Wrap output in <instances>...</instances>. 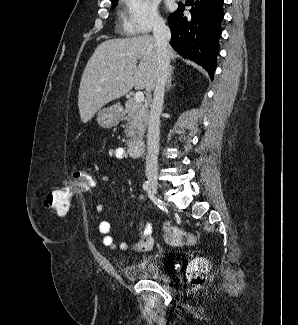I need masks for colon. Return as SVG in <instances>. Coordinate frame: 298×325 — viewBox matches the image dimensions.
I'll return each instance as SVG.
<instances>
[{"mask_svg": "<svg viewBox=\"0 0 298 325\" xmlns=\"http://www.w3.org/2000/svg\"><path fill=\"white\" fill-rule=\"evenodd\" d=\"M96 185L93 175L85 169H76L72 174V183L67 186L56 188L48 192L43 199L46 209L53 210L58 216L68 213L72 197L80 191H88ZM163 236L168 245L187 246L194 243L193 235L164 222L162 224ZM153 246L152 235L142 233L141 238L134 244L137 251H148ZM208 263L205 260L196 259L192 261L187 270V276L194 285L205 282L208 273Z\"/></svg>", "mask_w": 298, "mask_h": 325, "instance_id": "colon-1", "label": "colon"}]
</instances>
